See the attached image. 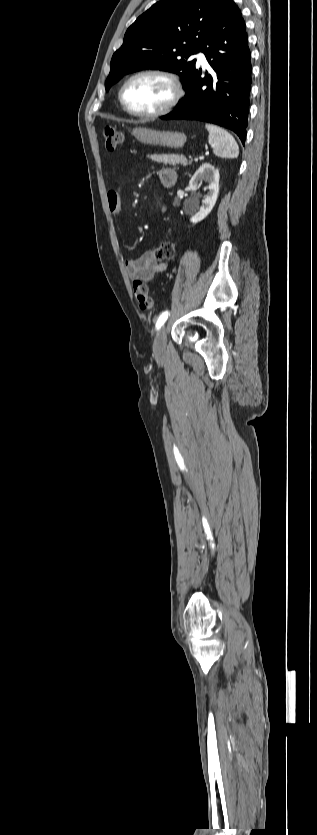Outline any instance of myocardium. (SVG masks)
<instances>
[{
	"instance_id": "myocardium-1",
	"label": "myocardium",
	"mask_w": 317,
	"mask_h": 835,
	"mask_svg": "<svg viewBox=\"0 0 317 835\" xmlns=\"http://www.w3.org/2000/svg\"><path fill=\"white\" fill-rule=\"evenodd\" d=\"M149 75L158 76V77H161V78L165 79L171 86L172 95H171L170 99L167 101V103L163 107H161L160 109H158L156 111H153V112L134 111V110H132L128 107V105L126 104V102L124 100V90L127 87V85L131 81H133L134 79H136L138 77H141V76H149ZM183 95H184V91H183L181 81L174 73H172L170 71H167V70H164V69L148 68V69H143V70L135 72L134 74L129 76L123 82V84L121 85V87L119 89V92H118V99H119V102H120L122 108L128 114H130L132 116L140 117V118H157V117H161V116H164V115L170 113L179 104Z\"/></svg>"
}]
</instances>
